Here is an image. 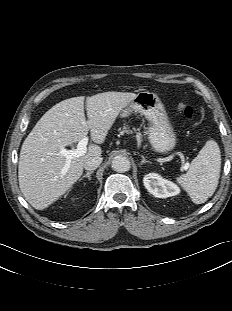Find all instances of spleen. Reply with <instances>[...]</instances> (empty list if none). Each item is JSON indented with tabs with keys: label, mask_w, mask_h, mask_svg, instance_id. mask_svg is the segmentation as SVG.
<instances>
[{
	"label": "spleen",
	"mask_w": 232,
	"mask_h": 311,
	"mask_svg": "<svg viewBox=\"0 0 232 311\" xmlns=\"http://www.w3.org/2000/svg\"><path fill=\"white\" fill-rule=\"evenodd\" d=\"M221 153L218 144L208 140L195 157L188 172L177 178V182L188 193L195 204H202L211 197L219 182Z\"/></svg>",
	"instance_id": "obj_1"
}]
</instances>
